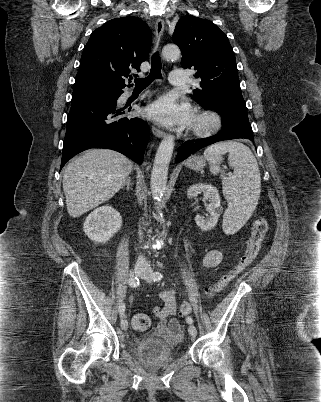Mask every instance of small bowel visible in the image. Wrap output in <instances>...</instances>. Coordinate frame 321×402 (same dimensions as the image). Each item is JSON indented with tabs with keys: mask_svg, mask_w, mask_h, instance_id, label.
Segmentation results:
<instances>
[{
	"mask_svg": "<svg viewBox=\"0 0 321 402\" xmlns=\"http://www.w3.org/2000/svg\"><path fill=\"white\" fill-rule=\"evenodd\" d=\"M222 257L220 249L210 250L203 256L202 265L206 268L216 267L221 263ZM160 299L162 306L153 309V314L158 319L154 332L168 343L175 344L182 338L180 324L173 317L177 313L175 294L172 290H164L160 293Z\"/></svg>",
	"mask_w": 321,
	"mask_h": 402,
	"instance_id": "1",
	"label": "small bowel"
}]
</instances>
